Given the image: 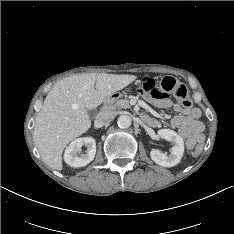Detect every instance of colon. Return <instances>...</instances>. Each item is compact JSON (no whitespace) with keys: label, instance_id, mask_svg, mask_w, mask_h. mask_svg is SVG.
<instances>
[{"label":"colon","instance_id":"colon-1","mask_svg":"<svg viewBox=\"0 0 234 234\" xmlns=\"http://www.w3.org/2000/svg\"><path fill=\"white\" fill-rule=\"evenodd\" d=\"M138 87L142 93L154 98L174 96L185 108H189L192 104L186 87L173 77L163 78L158 87L153 79L145 77L139 81ZM191 148L194 149L195 154H199L202 151L201 145L194 144Z\"/></svg>","mask_w":234,"mask_h":234}]
</instances>
